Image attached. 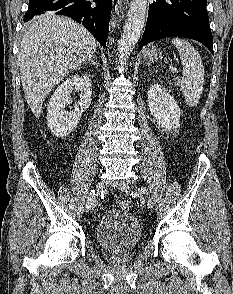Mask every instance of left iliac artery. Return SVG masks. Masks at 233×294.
Masks as SVG:
<instances>
[{"label":"left iliac artery","mask_w":233,"mask_h":294,"mask_svg":"<svg viewBox=\"0 0 233 294\" xmlns=\"http://www.w3.org/2000/svg\"><path fill=\"white\" fill-rule=\"evenodd\" d=\"M141 191H142L143 193H145V194L148 195V190H147L145 187H142V188H141ZM147 205H148L149 208H152V207H153V201H152L150 198H148Z\"/></svg>","instance_id":"1"}]
</instances>
